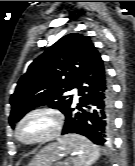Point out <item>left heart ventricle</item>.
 I'll return each instance as SVG.
<instances>
[{"instance_id":"left-heart-ventricle-1","label":"left heart ventricle","mask_w":135,"mask_h":166,"mask_svg":"<svg viewBox=\"0 0 135 166\" xmlns=\"http://www.w3.org/2000/svg\"><path fill=\"white\" fill-rule=\"evenodd\" d=\"M51 128V119L45 115L34 116L21 128L20 136L24 139H35L46 134Z\"/></svg>"}]
</instances>
